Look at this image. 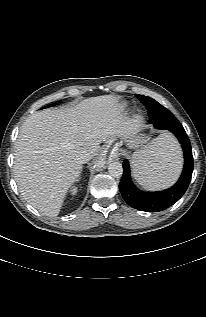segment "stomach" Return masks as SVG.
Listing matches in <instances>:
<instances>
[{
  "mask_svg": "<svg viewBox=\"0 0 206 317\" xmlns=\"http://www.w3.org/2000/svg\"><path fill=\"white\" fill-rule=\"evenodd\" d=\"M144 143H146V137L141 133H133L126 140L129 148L142 147Z\"/></svg>",
  "mask_w": 206,
  "mask_h": 317,
  "instance_id": "obj_1",
  "label": "stomach"
}]
</instances>
